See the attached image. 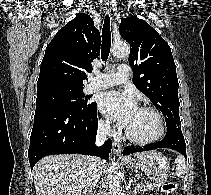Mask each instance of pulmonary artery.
<instances>
[{
  "label": "pulmonary artery",
  "mask_w": 211,
  "mask_h": 195,
  "mask_svg": "<svg viewBox=\"0 0 211 195\" xmlns=\"http://www.w3.org/2000/svg\"><path fill=\"white\" fill-rule=\"evenodd\" d=\"M130 75V68L126 64H121L115 72L100 74L95 73L87 85V91L93 92L95 90L109 88L128 81Z\"/></svg>",
  "instance_id": "1"
}]
</instances>
